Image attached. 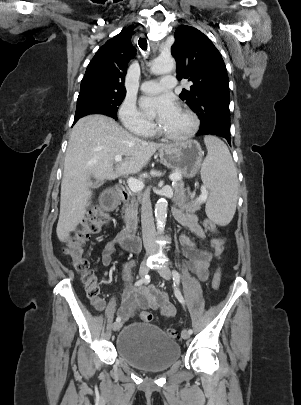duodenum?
I'll return each instance as SVG.
<instances>
[{"label": "duodenum", "mask_w": 301, "mask_h": 405, "mask_svg": "<svg viewBox=\"0 0 301 405\" xmlns=\"http://www.w3.org/2000/svg\"><path fill=\"white\" fill-rule=\"evenodd\" d=\"M123 201L127 204L131 201V193L125 186H119L118 190H105L100 196L98 206L102 213H115L117 208H121ZM136 223L132 218H128L126 226L122 232L123 247L131 252H138L141 249V242L136 234Z\"/></svg>", "instance_id": "410a0bca"}]
</instances>
